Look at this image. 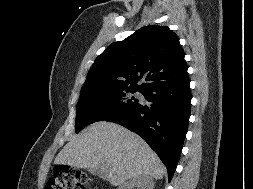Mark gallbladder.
<instances>
[{"mask_svg": "<svg viewBox=\"0 0 253 189\" xmlns=\"http://www.w3.org/2000/svg\"><path fill=\"white\" fill-rule=\"evenodd\" d=\"M89 172H91L94 175L101 176L102 178H105V173L99 168V169H88Z\"/></svg>", "mask_w": 253, "mask_h": 189, "instance_id": "1", "label": "gallbladder"}]
</instances>
